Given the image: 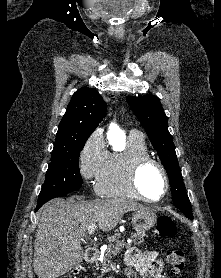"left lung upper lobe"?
<instances>
[{
	"instance_id": "left-lung-upper-lobe-1",
	"label": "left lung upper lobe",
	"mask_w": 221,
	"mask_h": 278,
	"mask_svg": "<svg viewBox=\"0 0 221 278\" xmlns=\"http://www.w3.org/2000/svg\"><path fill=\"white\" fill-rule=\"evenodd\" d=\"M126 100L145 128L149 140L167 171L174 206L178 209L191 210L172 136L168 131L167 117L160 100L153 95L127 96Z\"/></svg>"
}]
</instances>
